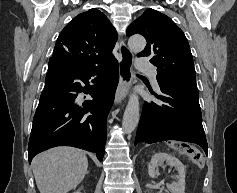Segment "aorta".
I'll return each instance as SVG.
<instances>
[{"label":"aorta","mask_w":237,"mask_h":193,"mask_svg":"<svg viewBox=\"0 0 237 193\" xmlns=\"http://www.w3.org/2000/svg\"><path fill=\"white\" fill-rule=\"evenodd\" d=\"M145 46L146 40L142 35H132L128 40V47L134 53L143 51ZM139 116V97L136 93H132L129 97L122 121V128L126 134H130L137 127Z\"/></svg>","instance_id":"762f6f07"}]
</instances>
